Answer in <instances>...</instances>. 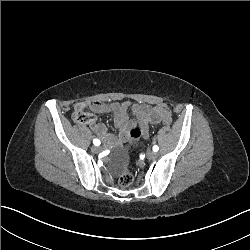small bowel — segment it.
<instances>
[{
	"label": "small bowel",
	"mask_w": 250,
	"mask_h": 250,
	"mask_svg": "<svg viewBox=\"0 0 250 250\" xmlns=\"http://www.w3.org/2000/svg\"><path fill=\"white\" fill-rule=\"evenodd\" d=\"M159 107L166 108L172 120L171 111L165 103H159L152 106L137 105V104L132 105L131 107L132 116L136 121L137 125L129 117L128 110L130 108V104L128 102H124L122 104L78 102L74 106L76 111H85L86 109H90L91 111L96 113L113 114L114 123L116 128L118 129V136L110 134L107 130L106 125L103 123L93 122L91 124V128L96 133V135L109 146H116L119 143L127 142L130 138V130L134 126L141 127L142 129L141 136L147 138L149 136L150 126L153 124L160 123V120L156 115V110Z\"/></svg>",
	"instance_id": "1"
}]
</instances>
